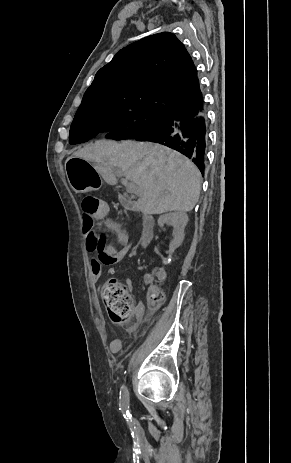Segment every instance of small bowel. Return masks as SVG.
Here are the masks:
<instances>
[{"label": "small bowel", "mask_w": 291, "mask_h": 463, "mask_svg": "<svg viewBox=\"0 0 291 463\" xmlns=\"http://www.w3.org/2000/svg\"><path fill=\"white\" fill-rule=\"evenodd\" d=\"M111 232L115 235L118 244L122 245L118 249L115 245L105 243V235ZM84 245L85 249L89 252L96 254V257L91 261V277L98 281L101 278L102 267L112 266L122 260L125 256L131 253L136 246L135 242L129 241L127 233L123 230L122 226L108 218L106 214L101 216L98 220V226L93 230L84 229ZM146 282H151V277H145ZM125 284L128 288H132L133 281L131 278L126 279ZM150 289H156L151 286ZM135 318L138 324H141L145 318V308L142 303H138L134 310ZM121 349V341L114 340L110 345L112 353H118Z\"/></svg>", "instance_id": "small-bowel-1"}]
</instances>
